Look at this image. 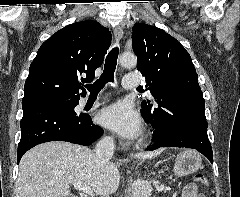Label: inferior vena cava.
Listing matches in <instances>:
<instances>
[{"label":"inferior vena cava","instance_id":"602c4592","mask_svg":"<svg viewBox=\"0 0 240 197\" xmlns=\"http://www.w3.org/2000/svg\"><path fill=\"white\" fill-rule=\"evenodd\" d=\"M114 139L113 137H103L95 147V155L100 161H109L114 154ZM103 197H109L103 195Z\"/></svg>","mask_w":240,"mask_h":197}]
</instances>
